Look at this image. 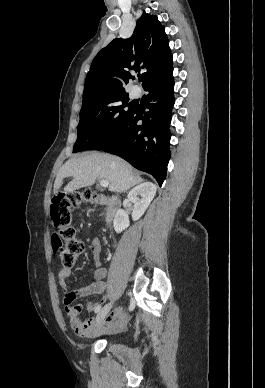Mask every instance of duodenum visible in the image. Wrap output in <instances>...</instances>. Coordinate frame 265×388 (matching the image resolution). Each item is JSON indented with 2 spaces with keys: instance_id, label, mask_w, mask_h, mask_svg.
<instances>
[{
  "instance_id": "1",
  "label": "duodenum",
  "mask_w": 265,
  "mask_h": 388,
  "mask_svg": "<svg viewBox=\"0 0 265 388\" xmlns=\"http://www.w3.org/2000/svg\"><path fill=\"white\" fill-rule=\"evenodd\" d=\"M100 202L105 205V220L107 223H110L119 210L120 202L113 196H103Z\"/></svg>"
}]
</instances>
